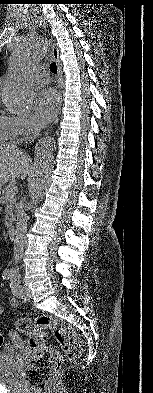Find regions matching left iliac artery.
<instances>
[{
    "label": "left iliac artery",
    "instance_id": "44dca946",
    "mask_svg": "<svg viewBox=\"0 0 153 393\" xmlns=\"http://www.w3.org/2000/svg\"><path fill=\"white\" fill-rule=\"evenodd\" d=\"M20 280L16 276L10 278V287L12 289L13 294L16 296L18 294L20 288Z\"/></svg>",
    "mask_w": 153,
    "mask_h": 393
}]
</instances>
